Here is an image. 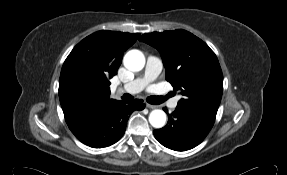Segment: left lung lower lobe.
<instances>
[{"label": "left lung lower lobe", "mask_w": 287, "mask_h": 175, "mask_svg": "<svg viewBox=\"0 0 287 175\" xmlns=\"http://www.w3.org/2000/svg\"><path fill=\"white\" fill-rule=\"evenodd\" d=\"M164 111L168 113L166 108ZM209 131L188 114L175 109L172 114H168V124L154 130V136L158 142L171 150L186 151L200 144Z\"/></svg>", "instance_id": "1"}]
</instances>
